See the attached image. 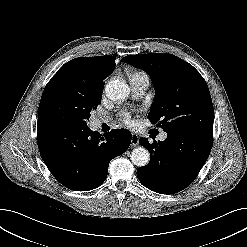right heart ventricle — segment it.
<instances>
[{"label":"right heart ventricle","instance_id":"1","mask_svg":"<svg viewBox=\"0 0 247 247\" xmlns=\"http://www.w3.org/2000/svg\"><path fill=\"white\" fill-rule=\"evenodd\" d=\"M137 74H142V72H134V73H132V74L130 75V77L133 76V75H137Z\"/></svg>","mask_w":247,"mask_h":247}]
</instances>
